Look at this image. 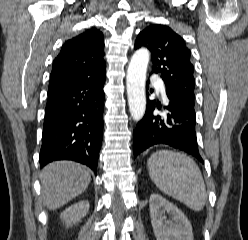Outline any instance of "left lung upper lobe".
<instances>
[{"instance_id": "1", "label": "left lung upper lobe", "mask_w": 248, "mask_h": 240, "mask_svg": "<svg viewBox=\"0 0 248 240\" xmlns=\"http://www.w3.org/2000/svg\"><path fill=\"white\" fill-rule=\"evenodd\" d=\"M134 47L149 49L152 73L161 75L167 93L180 101L194 104V68L190 50L181 36L166 25H150L140 32Z\"/></svg>"}]
</instances>
